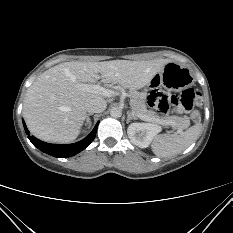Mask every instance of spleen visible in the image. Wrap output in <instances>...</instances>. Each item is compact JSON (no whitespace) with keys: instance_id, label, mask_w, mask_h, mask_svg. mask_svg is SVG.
Masks as SVG:
<instances>
[{"instance_id":"obj_1","label":"spleen","mask_w":233,"mask_h":233,"mask_svg":"<svg viewBox=\"0 0 233 233\" xmlns=\"http://www.w3.org/2000/svg\"><path fill=\"white\" fill-rule=\"evenodd\" d=\"M201 129L202 125L198 123L181 134H164L158 136L151 145L152 151L158 157L179 154L199 138Z\"/></svg>"}]
</instances>
